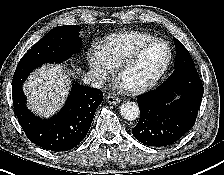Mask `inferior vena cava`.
I'll use <instances>...</instances> for the list:
<instances>
[{"label": "inferior vena cava", "mask_w": 224, "mask_h": 175, "mask_svg": "<svg viewBox=\"0 0 224 175\" xmlns=\"http://www.w3.org/2000/svg\"><path fill=\"white\" fill-rule=\"evenodd\" d=\"M84 82L94 88H101L103 86V80L100 75L92 71L85 75Z\"/></svg>", "instance_id": "obj_1"}]
</instances>
